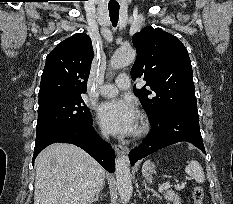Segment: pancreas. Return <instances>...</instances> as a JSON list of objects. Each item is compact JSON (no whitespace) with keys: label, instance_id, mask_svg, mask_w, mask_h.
I'll use <instances>...</instances> for the list:
<instances>
[{"label":"pancreas","instance_id":"pancreas-1","mask_svg":"<svg viewBox=\"0 0 233 204\" xmlns=\"http://www.w3.org/2000/svg\"><path fill=\"white\" fill-rule=\"evenodd\" d=\"M163 195L166 200L172 202L173 204H180V198L174 191L167 190L163 193Z\"/></svg>","mask_w":233,"mask_h":204}]
</instances>
